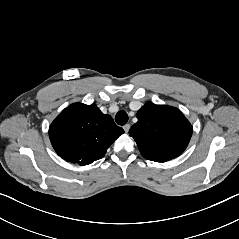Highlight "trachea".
I'll list each match as a JSON object with an SVG mask.
<instances>
[{"label":"trachea","mask_w":239,"mask_h":239,"mask_svg":"<svg viewBox=\"0 0 239 239\" xmlns=\"http://www.w3.org/2000/svg\"><path fill=\"white\" fill-rule=\"evenodd\" d=\"M115 121L118 125H125L128 121V114L121 110L115 116Z\"/></svg>","instance_id":"obj_1"}]
</instances>
